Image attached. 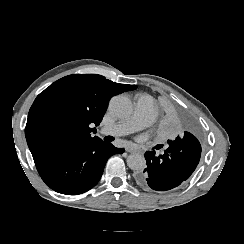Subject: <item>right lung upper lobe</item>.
Returning <instances> with one entry per match:
<instances>
[{
  "label": "right lung upper lobe",
  "mask_w": 244,
  "mask_h": 244,
  "mask_svg": "<svg viewBox=\"0 0 244 244\" xmlns=\"http://www.w3.org/2000/svg\"><path fill=\"white\" fill-rule=\"evenodd\" d=\"M136 88L97 74H73L57 80L30 108L25 136L31 153L97 139L91 135L111 97Z\"/></svg>",
  "instance_id": "1"
}]
</instances>
